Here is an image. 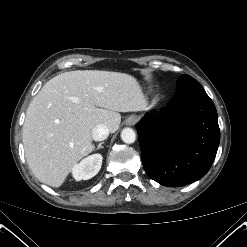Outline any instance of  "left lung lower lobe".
<instances>
[{
  "label": "left lung lower lobe",
  "mask_w": 247,
  "mask_h": 247,
  "mask_svg": "<svg viewBox=\"0 0 247 247\" xmlns=\"http://www.w3.org/2000/svg\"><path fill=\"white\" fill-rule=\"evenodd\" d=\"M136 128L146 173L170 187L203 177L220 141L216 108L194 78L178 81L168 107L161 113H147Z\"/></svg>",
  "instance_id": "0a47b994"
}]
</instances>
